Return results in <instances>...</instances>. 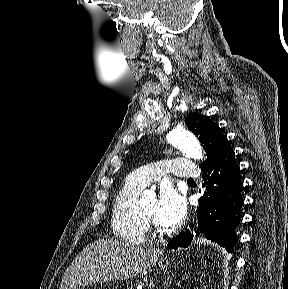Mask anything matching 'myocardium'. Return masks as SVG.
Returning a JSON list of instances; mask_svg holds the SVG:
<instances>
[{"mask_svg":"<svg viewBox=\"0 0 288 289\" xmlns=\"http://www.w3.org/2000/svg\"><path fill=\"white\" fill-rule=\"evenodd\" d=\"M138 213H139V217L142 220V222L146 225V226H151L153 225V220L148 217L143 211L142 209L138 206Z\"/></svg>","mask_w":288,"mask_h":289,"instance_id":"obj_1","label":"myocardium"}]
</instances>
